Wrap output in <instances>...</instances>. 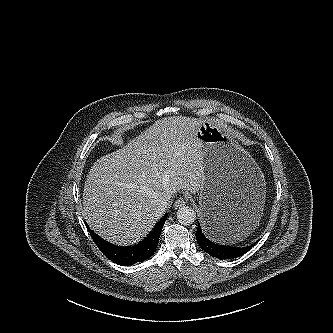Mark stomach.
Instances as JSON below:
<instances>
[{
	"label": "stomach",
	"instance_id": "1",
	"mask_svg": "<svg viewBox=\"0 0 333 333\" xmlns=\"http://www.w3.org/2000/svg\"><path fill=\"white\" fill-rule=\"evenodd\" d=\"M204 181L199 194L203 228L209 238L234 246L252 235L265 203L264 175L247 150L222 126L203 121Z\"/></svg>",
	"mask_w": 333,
	"mask_h": 333
}]
</instances>
